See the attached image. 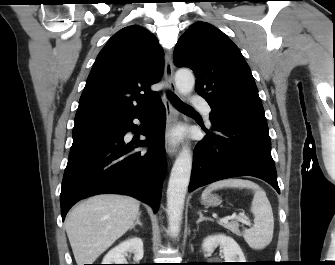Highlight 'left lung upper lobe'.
<instances>
[{
	"label": "left lung upper lobe",
	"mask_w": 335,
	"mask_h": 265,
	"mask_svg": "<svg viewBox=\"0 0 335 265\" xmlns=\"http://www.w3.org/2000/svg\"><path fill=\"white\" fill-rule=\"evenodd\" d=\"M173 61L193 70L195 90L214 116L269 135L251 70L227 35L209 23L196 22L177 42Z\"/></svg>",
	"instance_id": "left-lung-upper-lobe-1"
}]
</instances>
